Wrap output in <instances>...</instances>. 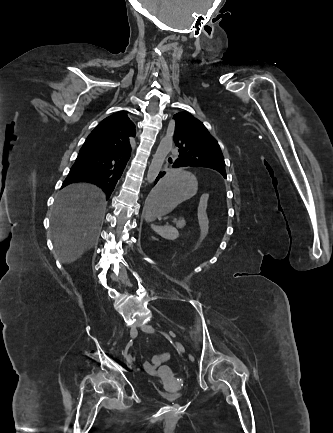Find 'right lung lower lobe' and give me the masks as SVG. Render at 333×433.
<instances>
[{"mask_svg": "<svg viewBox=\"0 0 333 433\" xmlns=\"http://www.w3.org/2000/svg\"><path fill=\"white\" fill-rule=\"evenodd\" d=\"M94 143L90 138L86 139L62 187L74 182H89L101 187L108 199L129 160L130 146L100 152L94 148Z\"/></svg>", "mask_w": 333, "mask_h": 433, "instance_id": "right-lung-lower-lobe-1", "label": "right lung lower lobe"}]
</instances>
